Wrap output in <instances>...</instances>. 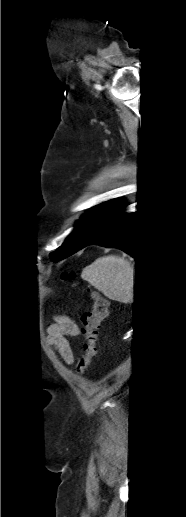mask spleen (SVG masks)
<instances>
[{
  "label": "spleen",
  "mask_w": 186,
  "mask_h": 517,
  "mask_svg": "<svg viewBox=\"0 0 186 517\" xmlns=\"http://www.w3.org/2000/svg\"><path fill=\"white\" fill-rule=\"evenodd\" d=\"M134 273V264L111 255L85 267L81 277L109 299L130 303L134 296Z\"/></svg>",
  "instance_id": "obj_1"
}]
</instances>
